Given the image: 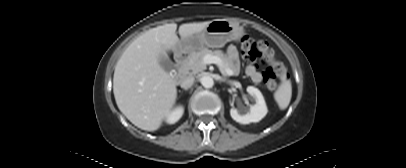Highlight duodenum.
I'll return each instance as SVG.
<instances>
[{
  "instance_id": "1",
  "label": "duodenum",
  "mask_w": 406,
  "mask_h": 168,
  "mask_svg": "<svg viewBox=\"0 0 406 168\" xmlns=\"http://www.w3.org/2000/svg\"><path fill=\"white\" fill-rule=\"evenodd\" d=\"M187 60H188L187 53H180L175 57V66L177 70V74L175 76L176 79H180L187 74V70L185 68Z\"/></svg>"
}]
</instances>
